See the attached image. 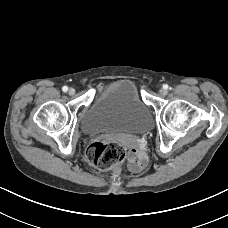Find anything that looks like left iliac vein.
I'll return each mask as SVG.
<instances>
[{
	"mask_svg": "<svg viewBox=\"0 0 228 228\" xmlns=\"http://www.w3.org/2000/svg\"><path fill=\"white\" fill-rule=\"evenodd\" d=\"M159 93L163 96L167 94V90L165 88L160 89Z\"/></svg>",
	"mask_w": 228,
	"mask_h": 228,
	"instance_id": "4c4485c4",
	"label": "left iliac vein"
}]
</instances>
